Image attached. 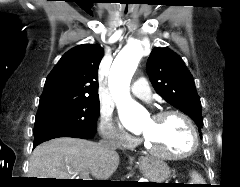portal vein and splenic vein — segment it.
<instances>
[{"instance_id":"18ae733b","label":"portal vein and splenic vein","mask_w":240,"mask_h":187,"mask_svg":"<svg viewBox=\"0 0 240 187\" xmlns=\"http://www.w3.org/2000/svg\"><path fill=\"white\" fill-rule=\"evenodd\" d=\"M88 174H89L88 172L82 173L83 180H91V179L89 178Z\"/></svg>"}]
</instances>
